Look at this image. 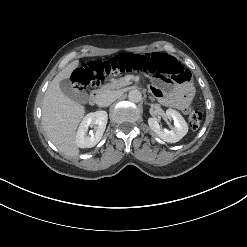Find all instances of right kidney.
I'll use <instances>...</instances> for the list:
<instances>
[{"label": "right kidney", "instance_id": "right-kidney-1", "mask_svg": "<svg viewBox=\"0 0 247 247\" xmlns=\"http://www.w3.org/2000/svg\"><path fill=\"white\" fill-rule=\"evenodd\" d=\"M108 115L106 111H96L87 114L76 133V145L80 148L94 147L102 138L106 128ZM90 126H96V132L87 134Z\"/></svg>", "mask_w": 247, "mask_h": 247}]
</instances>
